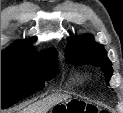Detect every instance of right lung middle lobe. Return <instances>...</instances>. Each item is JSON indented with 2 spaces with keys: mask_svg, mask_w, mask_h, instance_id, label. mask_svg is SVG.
Listing matches in <instances>:
<instances>
[{
  "mask_svg": "<svg viewBox=\"0 0 123 113\" xmlns=\"http://www.w3.org/2000/svg\"><path fill=\"white\" fill-rule=\"evenodd\" d=\"M58 72L57 54L8 48L1 55V109L29 97Z\"/></svg>",
  "mask_w": 123,
  "mask_h": 113,
  "instance_id": "obj_1",
  "label": "right lung middle lobe"
}]
</instances>
